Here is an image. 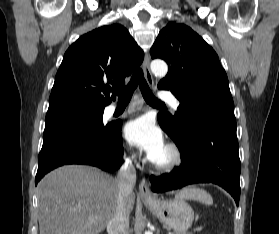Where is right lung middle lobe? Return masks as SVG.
Wrapping results in <instances>:
<instances>
[{
  "instance_id": "obj_1",
  "label": "right lung middle lobe",
  "mask_w": 279,
  "mask_h": 234,
  "mask_svg": "<svg viewBox=\"0 0 279 234\" xmlns=\"http://www.w3.org/2000/svg\"><path fill=\"white\" fill-rule=\"evenodd\" d=\"M104 108H93L78 105H67L48 109L45 120V131L64 127L81 126L96 130L107 129L102 115Z\"/></svg>"
}]
</instances>
